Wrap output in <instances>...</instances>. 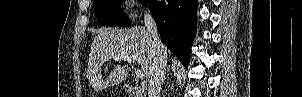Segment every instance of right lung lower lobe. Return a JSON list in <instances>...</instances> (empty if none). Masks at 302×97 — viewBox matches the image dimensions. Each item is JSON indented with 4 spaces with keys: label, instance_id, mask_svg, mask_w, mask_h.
Here are the masks:
<instances>
[{
    "label": "right lung lower lobe",
    "instance_id": "1",
    "mask_svg": "<svg viewBox=\"0 0 302 97\" xmlns=\"http://www.w3.org/2000/svg\"><path fill=\"white\" fill-rule=\"evenodd\" d=\"M148 3L162 40L187 66L196 32L198 0H150Z\"/></svg>",
    "mask_w": 302,
    "mask_h": 97
}]
</instances>
